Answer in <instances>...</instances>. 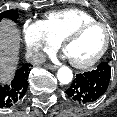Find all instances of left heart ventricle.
Returning a JSON list of instances; mask_svg holds the SVG:
<instances>
[{"instance_id": "b2bd125f", "label": "left heart ventricle", "mask_w": 117, "mask_h": 117, "mask_svg": "<svg viewBox=\"0 0 117 117\" xmlns=\"http://www.w3.org/2000/svg\"><path fill=\"white\" fill-rule=\"evenodd\" d=\"M106 40L105 30L99 26L85 30L78 38L66 47L69 59L86 62L93 58L103 47Z\"/></svg>"}]
</instances>
